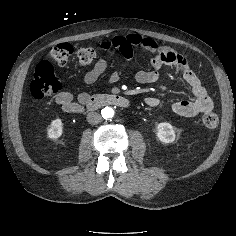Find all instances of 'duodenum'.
Segmentation results:
<instances>
[{
  "label": "duodenum",
  "mask_w": 236,
  "mask_h": 236,
  "mask_svg": "<svg viewBox=\"0 0 236 236\" xmlns=\"http://www.w3.org/2000/svg\"><path fill=\"white\" fill-rule=\"evenodd\" d=\"M107 105L127 108L130 105V102L126 97L119 94H96L93 96H88L81 107H85L89 110H95Z\"/></svg>",
  "instance_id": "duodenum-1"
}]
</instances>
